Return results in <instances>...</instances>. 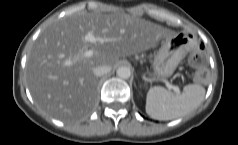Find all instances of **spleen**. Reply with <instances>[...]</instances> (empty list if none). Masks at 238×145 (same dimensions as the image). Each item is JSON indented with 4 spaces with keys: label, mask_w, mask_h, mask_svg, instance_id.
Wrapping results in <instances>:
<instances>
[{
    "label": "spleen",
    "mask_w": 238,
    "mask_h": 145,
    "mask_svg": "<svg viewBox=\"0 0 238 145\" xmlns=\"http://www.w3.org/2000/svg\"><path fill=\"white\" fill-rule=\"evenodd\" d=\"M204 96L205 88L199 84H188L176 95L162 87H153L146 96V113L157 120L176 119L196 109Z\"/></svg>",
    "instance_id": "spleen-1"
}]
</instances>
